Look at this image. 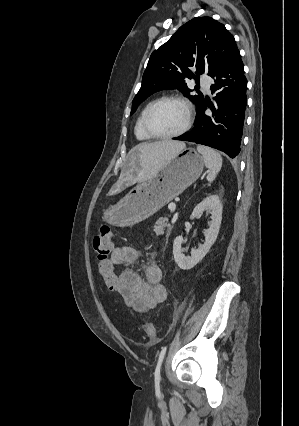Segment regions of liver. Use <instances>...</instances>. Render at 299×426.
I'll return each mask as SVG.
<instances>
[{"mask_svg": "<svg viewBox=\"0 0 299 426\" xmlns=\"http://www.w3.org/2000/svg\"><path fill=\"white\" fill-rule=\"evenodd\" d=\"M184 148V142L172 140L137 145L132 149L130 155L131 165L137 171L136 180L152 179L163 166Z\"/></svg>", "mask_w": 299, "mask_h": 426, "instance_id": "1", "label": "liver"}]
</instances>
